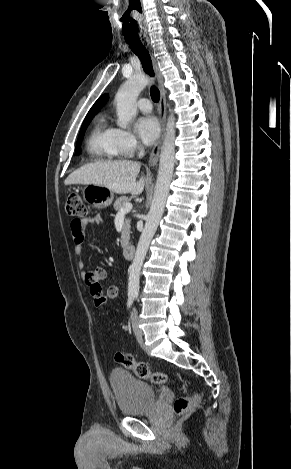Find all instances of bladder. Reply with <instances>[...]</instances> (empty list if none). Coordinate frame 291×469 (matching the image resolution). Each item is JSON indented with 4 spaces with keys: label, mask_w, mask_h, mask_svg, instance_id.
Segmentation results:
<instances>
[{
    "label": "bladder",
    "mask_w": 291,
    "mask_h": 469,
    "mask_svg": "<svg viewBox=\"0 0 291 469\" xmlns=\"http://www.w3.org/2000/svg\"><path fill=\"white\" fill-rule=\"evenodd\" d=\"M110 382L121 415L139 416L154 407L156 390L150 384L135 378L130 372L113 369L110 373Z\"/></svg>",
    "instance_id": "bladder-1"
}]
</instances>
